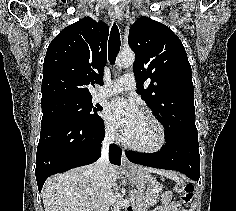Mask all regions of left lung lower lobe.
<instances>
[{"label": "left lung lower lobe", "mask_w": 236, "mask_h": 211, "mask_svg": "<svg viewBox=\"0 0 236 211\" xmlns=\"http://www.w3.org/2000/svg\"><path fill=\"white\" fill-rule=\"evenodd\" d=\"M129 161L154 168L176 170L192 180L200 177L198 139L166 140L165 147L155 153L126 152Z\"/></svg>", "instance_id": "left-lung-lower-lobe-1"}]
</instances>
